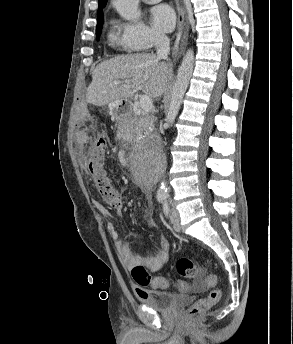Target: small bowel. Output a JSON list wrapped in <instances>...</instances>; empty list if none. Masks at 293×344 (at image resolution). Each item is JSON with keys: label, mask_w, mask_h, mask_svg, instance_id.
Segmentation results:
<instances>
[{"label": "small bowel", "mask_w": 293, "mask_h": 344, "mask_svg": "<svg viewBox=\"0 0 293 344\" xmlns=\"http://www.w3.org/2000/svg\"><path fill=\"white\" fill-rule=\"evenodd\" d=\"M92 138L93 135L90 134L88 131H85L83 129H77L75 131V143L78 150L80 152L84 151V149L88 146ZM121 158L126 159L125 154H121ZM95 206L97 210L100 212V214L108 219L106 226L107 231L115 243V248L117 250L119 257L128 269H132L136 266H142L148 268L151 272L155 273L162 267V265L166 262L169 253V242L165 237H158V248L152 254L140 256L135 253L133 242L129 238L126 237L122 239L120 237L115 223L112 220H110L112 216L111 212L98 201L95 202ZM117 210L119 213H122V204H120L117 207ZM149 226L154 228L156 226V223L154 221H150ZM135 291L139 297H142L146 293V290L139 286L136 287Z\"/></svg>", "instance_id": "obj_1"}]
</instances>
